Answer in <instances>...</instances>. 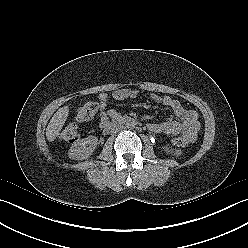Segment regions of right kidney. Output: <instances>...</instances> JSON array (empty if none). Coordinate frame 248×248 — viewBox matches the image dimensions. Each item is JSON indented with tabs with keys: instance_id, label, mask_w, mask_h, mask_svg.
I'll return each instance as SVG.
<instances>
[{
	"instance_id": "obj_1",
	"label": "right kidney",
	"mask_w": 248,
	"mask_h": 248,
	"mask_svg": "<svg viewBox=\"0 0 248 248\" xmlns=\"http://www.w3.org/2000/svg\"><path fill=\"white\" fill-rule=\"evenodd\" d=\"M98 144V138L95 136H88L85 139L75 142L68 152V156L74 160L87 159L92 155Z\"/></svg>"
}]
</instances>
